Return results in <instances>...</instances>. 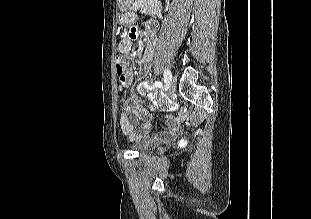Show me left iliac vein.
I'll list each match as a JSON object with an SVG mask.
<instances>
[{
	"label": "left iliac vein",
	"mask_w": 311,
	"mask_h": 219,
	"mask_svg": "<svg viewBox=\"0 0 311 219\" xmlns=\"http://www.w3.org/2000/svg\"><path fill=\"white\" fill-rule=\"evenodd\" d=\"M176 90V82L175 80H171L169 86H168V95L171 96Z\"/></svg>",
	"instance_id": "left-iliac-vein-1"
}]
</instances>
